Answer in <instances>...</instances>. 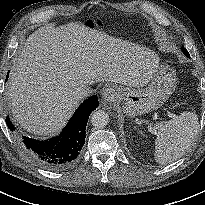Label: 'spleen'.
<instances>
[{"instance_id":"spleen-1","label":"spleen","mask_w":205,"mask_h":205,"mask_svg":"<svg viewBox=\"0 0 205 205\" xmlns=\"http://www.w3.org/2000/svg\"><path fill=\"white\" fill-rule=\"evenodd\" d=\"M199 130L198 116L182 112L177 118L154 126L156 146L154 158L166 165L181 157L194 143Z\"/></svg>"}]
</instances>
